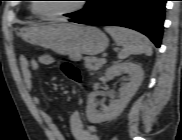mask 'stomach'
Returning a JSON list of instances; mask_svg holds the SVG:
<instances>
[{
  "instance_id": "1",
  "label": "stomach",
  "mask_w": 182,
  "mask_h": 140,
  "mask_svg": "<svg viewBox=\"0 0 182 140\" xmlns=\"http://www.w3.org/2000/svg\"><path fill=\"white\" fill-rule=\"evenodd\" d=\"M20 34L26 42L61 55H97L108 46V38L100 29L71 23L30 25Z\"/></svg>"
}]
</instances>
